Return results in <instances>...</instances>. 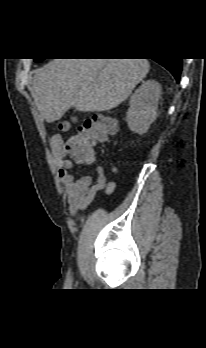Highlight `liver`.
<instances>
[{"label":"liver","mask_w":206,"mask_h":348,"mask_svg":"<svg viewBox=\"0 0 206 348\" xmlns=\"http://www.w3.org/2000/svg\"><path fill=\"white\" fill-rule=\"evenodd\" d=\"M149 69L147 59H53L36 71L32 96L49 123L70 108L106 111L125 101Z\"/></svg>","instance_id":"1"}]
</instances>
